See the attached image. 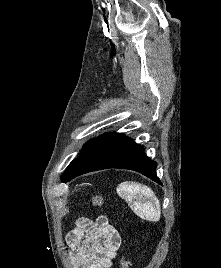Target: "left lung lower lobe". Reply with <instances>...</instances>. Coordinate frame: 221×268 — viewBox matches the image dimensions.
Here are the masks:
<instances>
[{"label":"left lung lower lobe","mask_w":221,"mask_h":268,"mask_svg":"<svg viewBox=\"0 0 221 268\" xmlns=\"http://www.w3.org/2000/svg\"><path fill=\"white\" fill-rule=\"evenodd\" d=\"M156 166V162L143 153L142 145L113 132L91 141L67 167L61 179L66 182L91 171L123 168L137 171L161 184L156 175Z\"/></svg>","instance_id":"0a47b994"}]
</instances>
